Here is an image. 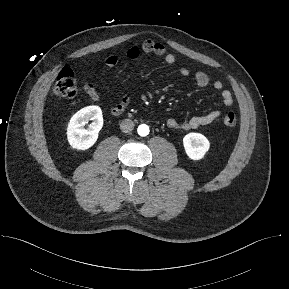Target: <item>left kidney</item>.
Returning <instances> with one entry per match:
<instances>
[{
	"label": "left kidney",
	"mask_w": 289,
	"mask_h": 289,
	"mask_svg": "<svg viewBox=\"0 0 289 289\" xmlns=\"http://www.w3.org/2000/svg\"><path fill=\"white\" fill-rule=\"evenodd\" d=\"M186 154L192 160H200L210 148L209 140L200 133H188L183 138Z\"/></svg>",
	"instance_id": "left-kidney-1"
}]
</instances>
